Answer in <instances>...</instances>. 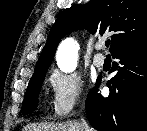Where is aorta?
<instances>
[{
    "instance_id": "762f6f07",
    "label": "aorta",
    "mask_w": 147,
    "mask_h": 131,
    "mask_svg": "<svg viewBox=\"0 0 147 131\" xmlns=\"http://www.w3.org/2000/svg\"><path fill=\"white\" fill-rule=\"evenodd\" d=\"M57 65L64 73L75 70L78 59V45L72 38H67L61 42L57 50Z\"/></svg>"
}]
</instances>
